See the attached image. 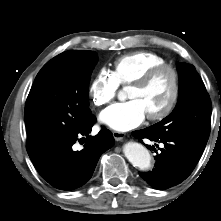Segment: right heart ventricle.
<instances>
[{
	"label": "right heart ventricle",
	"mask_w": 221,
	"mask_h": 221,
	"mask_svg": "<svg viewBox=\"0 0 221 221\" xmlns=\"http://www.w3.org/2000/svg\"><path fill=\"white\" fill-rule=\"evenodd\" d=\"M165 63L166 59L157 53L137 51L115 59L111 74L118 85L126 86L138 79L147 70Z\"/></svg>",
	"instance_id": "e07e8e85"
}]
</instances>
